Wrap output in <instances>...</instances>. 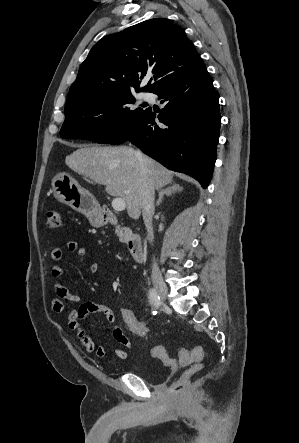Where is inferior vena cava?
Returning a JSON list of instances; mask_svg holds the SVG:
<instances>
[{
    "label": "inferior vena cava",
    "instance_id": "obj_1",
    "mask_svg": "<svg viewBox=\"0 0 299 443\" xmlns=\"http://www.w3.org/2000/svg\"><path fill=\"white\" fill-rule=\"evenodd\" d=\"M136 157L141 164V192H140V203L142 208L143 221L147 230V239L149 242H153L154 234L152 228V215L154 213V195L155 188L148 176L147 170L143 164V156L140 151L135 152ZM152 275L154 277H159L160 270L158 264L153 262L152 265Z\"/></svg>",
    "mask_w": 299,
    "mask_h": 443
}]
</instances>
